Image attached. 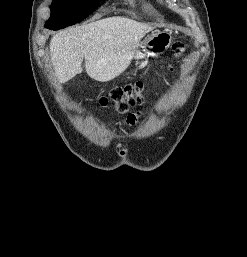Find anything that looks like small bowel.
<instances>
[{
    "label": "small bowel",
    "mask_w": 247,
    "mask_h": 257,
    "mask_svg": "<svg viewBox=\"0 0 247 257\" xmlns=\"http://www.w3.org/2000/svg\"><path fill=\"white\" fill-rule=\"evenodd\" d=\"M135 120H136V115H134V114L129 115L127 118V122L130 124H133L135 122Z\"/></svg>",
    "instance_id": "small-bowel-1"
}]
</instances>
